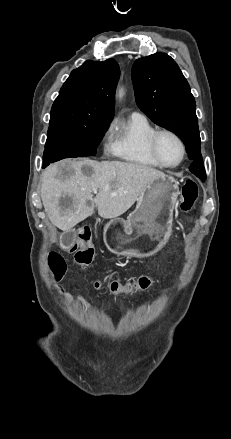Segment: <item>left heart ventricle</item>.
<instances>
[{"label":"left heart ventricle","mask_w":231,"mask_h":439,"mask_svg":"<svg viewBox=\"0 0 231 439\" xmlns=\"http://www.w3.org/2000/svg\"><path fill=\"white\" fill-rule=\"evenodd\" d=\"M157 148L161 159L169 165L176 164L181 158L180 145L170 135H161L158 139Z\"/></svg>","instance_id":"left-heart-ventricle-1"}]
</instances>
